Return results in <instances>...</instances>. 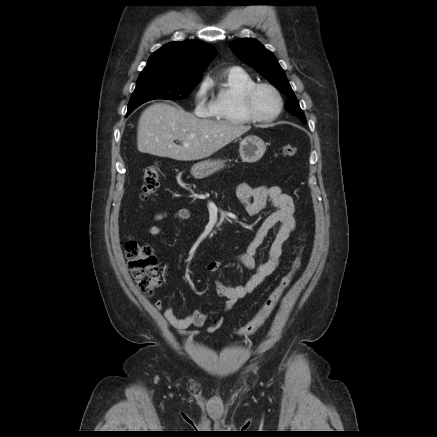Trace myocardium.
Instances as JSON below:
<instances>
[{"label":"myocardium","instance_id":"1","mask_svg":"<svg viewBox=\"0 0 437 437\" xmlns=\"http://www.w3.org/2000/svg\"><path fill=\"white\" fill-rule=\"evenodd\" d=\"M260 88L270 89L274 93V95L276 96L277 101H278L277 111L269 117H263V116L258 115L254 109V106H253L254 96ZM242 102H243V108H244L246 115L252 121L263 122V123L271 122V121H274L275 119H277L280 116V114L282 113L283 107H284V102H283V98H282L280 91L274 85L267 83V82H258V83H254L251 86H249L243 94Z\"/></svg>","mask_w":437,"mask_h":437}]
</instances>
